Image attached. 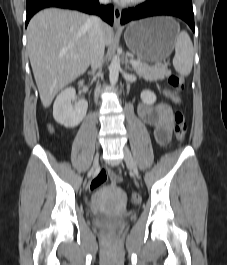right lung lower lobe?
I'll return each mask as SVG.
<instances>
[{"label": "right lung lower lobe", "mask_w": 227, "mask_h": 265, "mask_svg": "<svg viewBox=\"0 0 227 265\" xmlns=\"http://www.w3.org/2000/svg\"><path fill=\"white\" fill-rule=\"evenodd\" d=\"M26 2V26L36 12L48 7L68 8L89 14H97L110 25L113 24V6H100L98 0H26Z\"/></svg>", "instance_id": "1"}]
</instances>
